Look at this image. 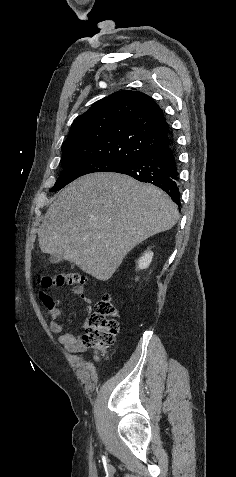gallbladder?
<instances>
[{
    "label": "gallbladder",
    "instance_id": "bac80fb5",
    "mask_svg": "<svg viewBox=\"0 0 236 477\" xmlns=\"http://www.w3.org/2000/svg\"><path fill=\"white\" fill-rule=\"evenodd\" d=\"M63 260V257L60 255H51L50 256V261L53 263H58Z\"/></svg>",
    "mask_w": 236,
    "mask_h": 477
}]
</instances>
